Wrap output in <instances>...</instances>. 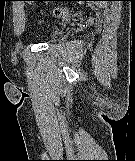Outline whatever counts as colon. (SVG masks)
<instances>
[{"mask_svg":"<svg viewBox=\"0 0 135 161\" xmlns=\"http://www.w3.org/2000/svg\"><path fill=\"white\" fill-rule=\"evenodd\" d=\"M19 1H28L30 3L32 2V0H19ZM53 14L57 18H67L72 14V12L68 9L57 8L53 11Z\"/></svg>","mask_w":135,"mask_h":161,"instance_id":"colon-1","label":"colon"}]
</instances>
